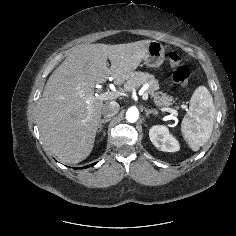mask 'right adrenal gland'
<instances>
[{"instance_id": "right-adrenal-gland-1", "label": "right adrenal gland", "mask_w": 236, "mask_h": 236, "mask_svg": "<svg viewBox=\"0 0 236 236\" xmlns=\"http://www.w3.org/2000/svg\"><path fill=\"white\" fill-rule=\"evenodd\" d=\"M110 121V118H107V119H102L101 121H100V123H99V129H98V132H101V130L103 129V124H106L107 122H109ZM106 135V132H105V130H104V132H103V136H105Z\"/></svg>"}]
</instances>
